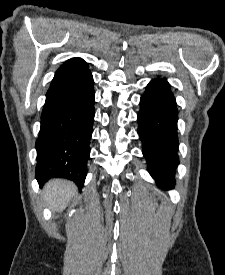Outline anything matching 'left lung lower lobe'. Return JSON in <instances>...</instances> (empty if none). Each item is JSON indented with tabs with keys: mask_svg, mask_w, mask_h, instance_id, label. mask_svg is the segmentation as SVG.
<instances>
[{
	"mask_svg": "<svg viewBox=\"0 0 225 275\" xmlns=\"http://www.w3.org/2000/svg\"><path fill=\"white\" fill-rule=\"evenodd\" d=\"M138 134L148 170L165 189L174 187L179 164L176 100L165 78L152 80L140 99Z\"/></svg>",
	"mask_w": 225,
	"mask_h": 275,
	"instance_id": "obj_1",
	"label": "left lung lower lobe"
}]
</instances>
